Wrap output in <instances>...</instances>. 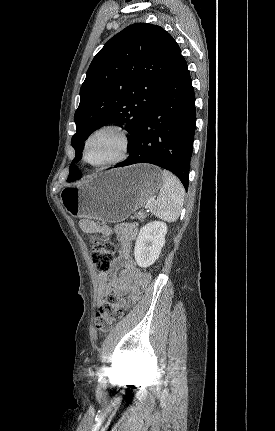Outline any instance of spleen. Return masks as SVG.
<instances>
[{
    "label": "spleen",
    "mask_w": 275,
    "mask_h": 431,
    "mask_svg": "<svg viewBox=\"0 0 275 431\" xmlns=\"http://www.w3.org/2000/svg\"><path fill=\"white\" fill-rule=\"evenodd\" d=\"M162 186L157 199L149 204V209L153 215L167 222H175L183 208L185 190L179 179L163 170Z\"/></svg>",
    "instance_id": "obj_1"
}]
</instances>
